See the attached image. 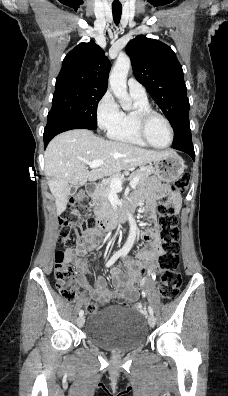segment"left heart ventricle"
I'll use <instances>...</instances> for the list:
<instances>
[{
  "mask_svg": "<svg viewBox=\"0 0 228 396\" xmlns=\"http://www.w3.org/2000/svg\"><path fill=\"white\" fill-rule=\"evenodd\" d=\"M147 135L154 145L160 147L167 145L170 140L168 127L159 117H153L150 119L147 125Z\"/></svg>",
  "mask_w": 228,
  "mask_h": 396,
  "instance_id": "left-heart-ventricle-1",
  "label": "left heart ventricle"
}]
</instances>
